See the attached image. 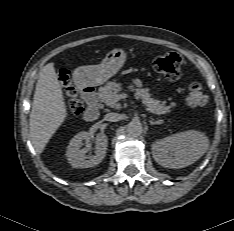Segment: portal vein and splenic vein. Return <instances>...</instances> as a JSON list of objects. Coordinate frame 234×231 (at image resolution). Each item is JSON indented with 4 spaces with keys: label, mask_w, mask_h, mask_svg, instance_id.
I'll list each match as a JSON object with an SVG mask.
<instances>
[{
    "label": "portal vein and splenic vein",
    "mask_w": 234,
    "mask_h": 231,
    "mask_svg": "<svg viewBox=\"0 0 234 231\" xmlns=\"http://www.w3.org/2000/svg\"><path fill=\"white\" fill-rule=\"evenodd\" d=\"M127 94H125V93H123V94H120V95H118L117 97H116V99H114V102H117L118 100H120V99H125V98H127Z\"/></svg>",
    "instance_id": "18ae733b"
}]
</instances>
